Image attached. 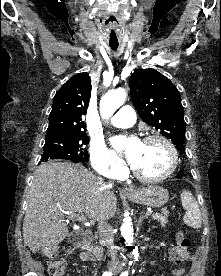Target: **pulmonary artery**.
I'll return each instance as SVG.
<instances>
[{"label": "pulmonary artery", "instance_id": "e3ab8cb5", "mask_svg": "<svg viewBox=\"0 0 221 276\" xmlns=\"http://www.w3.org/2000/svg\"><path fill=\"white\" fill-rule=\"evenodd\" d=\"M136 121V114L132 107L123 106L112 117L111 124L116 127L125 128L132 126Z\"/></svg>", "mask_w": 221, "mask_h": 276}]
</instances>
